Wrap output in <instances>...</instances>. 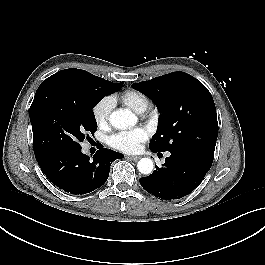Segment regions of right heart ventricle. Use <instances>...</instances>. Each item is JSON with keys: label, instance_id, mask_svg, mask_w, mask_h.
Returning a JSON list of instances; mask_svg holds the SVG:
<instances>
[{"label": "right heart ventricle", "instance_id": "right-heart-ventricle-1", "mask_svg": "<svg viewBox=\"0 0 265 265\" xmlns=\"http://www.w3.org/2000/svg\"><path fill=\"white\" fill-rule=\"evenodd\" d=\"M120 100L123 104L137 113L144 112L150 103L149 98L146 94L135 89L125 91L120 96Z\"/></svg>", "mask_w": 265, "mask_h": 265}]
</instances>
